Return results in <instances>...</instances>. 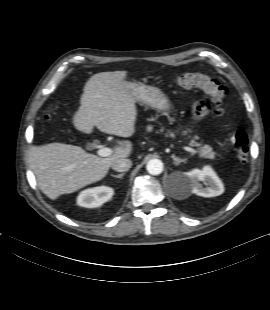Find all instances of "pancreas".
Listing matches in <instances>:
<instances>
[{"instance_id":"pancreas-1","label":"pancreas","mask_w":270,"mask_h":310,"mask_svg":"<svg viewBox=\"0 0 270 310\" xmlns=\"http://www.w3.org/2000/svg\"><path fill=\"white\" fill-rule=\"evenodd\" d=\"M153 129L152 126L147 127V131L151 132ZM183 135L187 134V131L182 132ZM169 136L174 137V134L172 132L169 133ZM191 146H196L199 147V154L203 158H208V159H214L215 158V152L213 151V148L210 145H202L201 143L196 142V137L190 140L189 143Z\"/></svg>"}]
</instances>
